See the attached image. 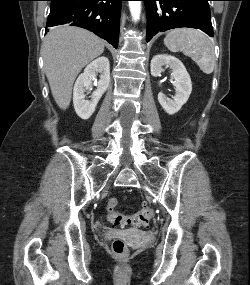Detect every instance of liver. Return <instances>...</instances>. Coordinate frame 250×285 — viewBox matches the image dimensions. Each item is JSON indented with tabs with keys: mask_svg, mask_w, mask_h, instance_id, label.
<instances>
[{
	"mask_svg": "<svg viewBox=\"0 0 250 285\" xmlns=\"http://www.w3.org/2000/svg\"><path fill=\"white\" fill-rule=\"evenodd\" d=\"M105 42L78 27L53 28L42 46L44 70L56 104L66 110L71 101L73 83L80 71L104 52Z\"/></svg>",
	"mask_w": 250,
	"mask_h": 285,
	"instance_id": "liver-1",
	"label": "liver"
}]
</instances>
